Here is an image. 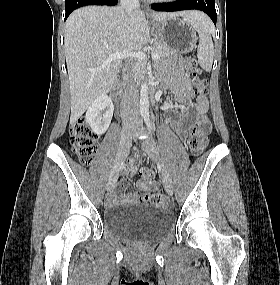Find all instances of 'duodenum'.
Wrapping results in <instances>:
<instances>
[{
    "mask_svg": "<svg viewBox=\"0 0 280 285\" xmlns=\"http://www.w3.org/2000/svg\"><path fill=\"white\" fill-rule=\"evenodd\" d=\"M126 64L129 65V62L127 61ZM157 91H158V86L155 83L151 82V93L154 98L157 95Z\"/></svg>",
    "mask_w": 280,
    "mask_h": 285,
    "instance_id": "410a0bca",
    "label": "duodenum"
}]
</instances>
